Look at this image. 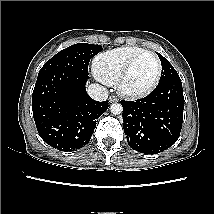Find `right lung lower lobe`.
<instances>
[{"label": "right lung lower lobe", "mask_w": 214, "mask_h": 214, "mask_svg": "<svg viewBox=\"0 0 214 214\" xmlns=\"http://www.w3.org/2000/svg\"><path fill=\"white\" fill-rule=\"evenodd\" d=\"M88 75L54 71L37 78L32 95L34 121L40 137L61 151H74L91 139L108 101L93 100L86 92Z\"/></svg>", "instance_id": "98d812e1"}]
</instances>
